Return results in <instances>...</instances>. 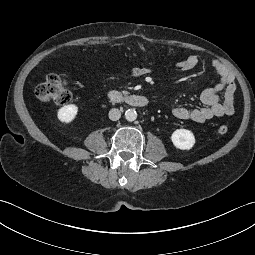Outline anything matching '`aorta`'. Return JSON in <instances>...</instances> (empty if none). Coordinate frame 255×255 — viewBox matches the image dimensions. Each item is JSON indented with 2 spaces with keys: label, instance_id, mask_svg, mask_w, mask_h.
I'll return each instance as SVG.
<instances>
[{
  "label": "aorta",
  "instance_id": "1",
  "mask_svg": "<svg viewBox=\"0 0 255 255\" xmlns=\"http://www.w3.org/2000/svg\"><path fill=\"white\" fill-rule=\"evenodd\" d=\"M125 118L129 122L135 121L137 118V112L134 109H128L125 112Z\"/></svg>",
  "mask_w": 255,
  "mask_h": 255
}]
</instances>
